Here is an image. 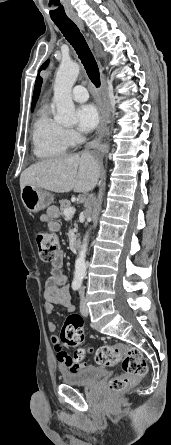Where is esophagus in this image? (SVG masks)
I'll return each instance as SVG.
<instances>
[{"instance_id":"esophagus-1","label":"esophagus","mask_w":171,"mask_h":445,"mask_svg":"<svg viewBox=\"0 0 171 445\" xmlns=\"http://www.w3.org/2000/svg\"><path fill=\"white\" fill-rule=\"evenodd\" d=\"M72 20L75 22V24L82 30H84V24L82 22V20L79 17H72ZM101 83H102V90H103V94H104V98H105V92H106V80H105V76L103 73H101ZM106 119L105 116L103 115L101 117V123H100V127H99V131H98V139L101 140L106 132Z\"/></svg>"}]
</instances>
